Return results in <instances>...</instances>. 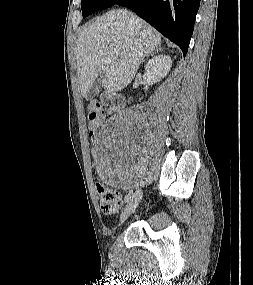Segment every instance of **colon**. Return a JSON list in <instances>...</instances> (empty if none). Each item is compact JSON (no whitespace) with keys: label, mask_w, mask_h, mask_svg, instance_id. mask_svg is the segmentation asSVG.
I'll return each mask as SVG.
<instances>
[{"label":"colon","mask_w":253,"mask_h":285,"mask_svg":"<svg viewBox=\"0 0 253 285\" xmlns=\"http://www.w3.org/2000/svg\"><path fill=\"white\" fill-rule=\"evenodd\" d=\"M103 119V111L99 103H93L90 105L88 113V137H90L91 148H96L99 136H96V130L100 126ZM91 155L95 154L94 150L90 151ZM97 158H90L89 165L91 168L97 167ZM96 192L99 198L101 209L107 214L116 213L121 206V197L119 193L113 189L106 187L101 182L95 184Z\"/></svg>","instance_id":"obj_1"}]
</instances>
